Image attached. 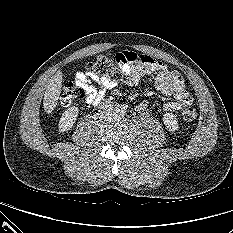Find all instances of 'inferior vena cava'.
<instances>
[{
    "label": "inferior vena cava",
    "instance_id": "1",
    "mask_svg": "<svg viewBox=\"0 0 233 233\" xmlns=\"http://www.w3.org/2000/svg\"><path fill=\"white\" fill-rule=\"evenodd\" d=\"M112 111H113V108L109 107L106 111L100 110V114L103 117H107V116L111 115Z\"/></svg>",
    "mask_w": 233,
    "mask_h": 233
}]
</instances>
